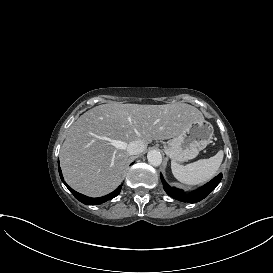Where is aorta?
<instances>
[{
	"label": "aorta",
	"instance_id": "aorta-1",
	"mask_svg": "<svg viewBox=\"0 0 273 273\" xmlns=\"http://www.w3.org/2000/svg\"><path fill=\"white\" fill-rule=\"evenodd\" d=\"M147 159L153 166H159L162 163V155L157 150H150L147 154Z\"/></svg>",
	"mask_w": 273,
	"mask_h": 273
}]
</instances>
